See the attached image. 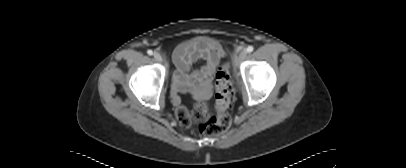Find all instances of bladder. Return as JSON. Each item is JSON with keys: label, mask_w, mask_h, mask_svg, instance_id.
I'll return each instance as SVG.
<instances>
[{"label": "bladder", "mask_w": 406, "mask_h": 168, "mask_svg": "<svg viewBox=\"0 0 406 168\" xmlns=\"http://www.w3.org/2000/svg\"><path fill=\"white\" fill-rule=\"evenodd\" d=\"M206 40H209V39H207L205 37H196V38H194V39H192V40H190V41H188V42H186L184 44L185 45H195V44H199L201 42H204Z\"/></svg>", "instance_id": "obj_1"}]
</instances>
